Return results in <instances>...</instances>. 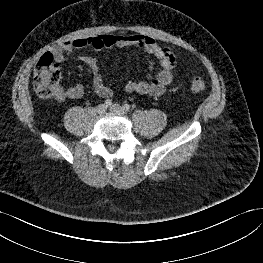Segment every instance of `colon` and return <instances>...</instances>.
<instances>
[{"label": "colon", "instance_id": "obj_1", "mask_svg": "<svg viewBox=\"0 0 263 263\" xmlns=\"http://www.w3.org/2000/svg\"><path fill=\"white\" fill-rule=\"evenodd\" d=\"M60 78L59 65L50 53L44 54L37 62L33 73L35 92L44 98L53 97L59 87ZM207 86V82L201 77H195L191 81V90L196 93L205 91Z\"/></svg>", "mask_w": 263, "mask_h": 263}]
</instances>
